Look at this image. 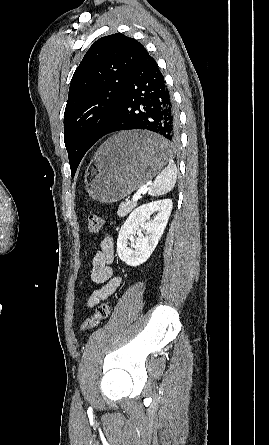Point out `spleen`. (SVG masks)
<instances>
[{"mask_svg": "<svg viewBox=\"0 0 269 445\" xmlns=\"http://www.w3.org/2000/svg\"><path fill=\"white\" fill-rule=\"evenodd\" d=\"M176 178V165L172 159H169L168 166L157 175L148 194L150 196H160L170 192L175 186Z\"/></svg>", "mask_w": 269, "mask_h": 445, "instance_id": "1", "label": "spleen"}]
</instances>
